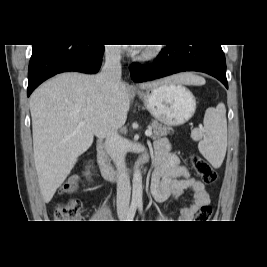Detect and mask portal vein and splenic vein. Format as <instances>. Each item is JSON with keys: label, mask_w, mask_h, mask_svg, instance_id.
Returning a JSON list of instances; mask_svg holds the SVG:
<instances>
[{"label": "portal vein and splenic vein", "mask_w": 267, "mask_h": 267, "mask_svg": "<svg viewBox=\"0 0 267 267\" xmlns=\"http://www.w3.org/2000/svg\"><path fill=\"white\" fill-rule=\"evenodd\" d=\"M84 124H85V121H81L79 123V126H83ZM145 135L146 136H151L152 135V130H146Z\"/></svg>", "instance_id": "obj_1"}]
</instances>
